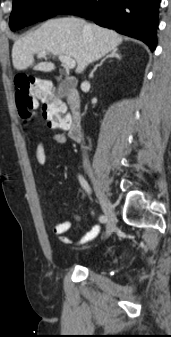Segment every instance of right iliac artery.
I'll return each mask as SVG.
<instances>
[{
  "label": "right iliac artery",
  "instance_id": "right-iliac-artery-1",
  "mask_svg": "<svg viewBox=\"0 0 171 337\" xmlns=\"http://www.w3.org/2000/svg\"><path fill=\"white\" fill-rule=\"evenodd\" d=\"M78 177H79V181L81 183V186L86 190V192L90 193L91 190H90V187H89L87 181L81 175H79ZM99 221L102 222V223L106 222L107 221L106 216L101 215L99 217Z\"/></svg>",
  "mask_w": 171,
  "mask_h": 337
}]
</instances>
